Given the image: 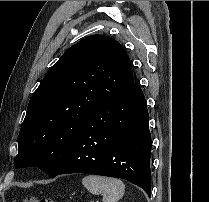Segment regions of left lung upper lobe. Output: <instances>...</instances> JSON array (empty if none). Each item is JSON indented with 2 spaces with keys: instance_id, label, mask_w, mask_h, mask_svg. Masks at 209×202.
<instances>
[{
  "instance_id": "obj_1",
  "label": "left lung upper lobe",
  "mask_w": 209,
  "mask_h": 202,
  "mask_svg": "<svg viewBox=\"0 0 209 202\" xmlns=\"http://www.w3.org/2000/svg\"><path fill=\"white\" fill-rule=\"evenodd\" d=\"M133 83L130 58L114 39L91 35L71 46L29 101L15 167L38 166L52 177L87 116Z\"/></svg>"
}]
</instances>
